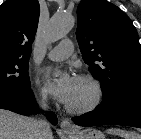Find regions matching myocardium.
<instances>
[{"instance_id": "f54148a6", "label": "myocardium", "mask_w": 141, "mask_h": 139, "mask_svg": "<svg viewBox=\"0 0 141 139\" xmlns=\"http://www.w3.org/2000/svg\"><path fill=\"white\" fill-rule=\"evenodd\" d=\"M76 79L87 82L92 88L93 95L86 104L80 106L66 104V110L73 114H86L94 111L100 106L104 98V89L101 82L91 74H79Z\"/></svg>"}]
</instances>
